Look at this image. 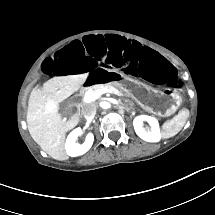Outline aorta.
<instances>
[{"label":"aorta","mask_w":215,"mask_h":215,"mask_svg":"<svg viewBox=\"0 0 215 215\" xmlns=\"http://www.w3.org/2000/svg\"><path fill=\"white\" fill-rule=\"evenodd\" d=\"M99 107L103 109L108 108V102H105V101L99 102Z\"/></svg>","instance_id":"762f6f07"}]
</instances>
